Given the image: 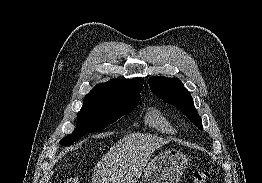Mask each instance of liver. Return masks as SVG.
Returning a JSON list of instances; mask_svg holds the SVG:
<instances>
[{"mask_svg":"<svg viewBox=\"0 0 262 183\" xmlns=\"http://www.w3.org/2000/svg\"><path fill=\"white\" fill-rule=\"evenodd\" d=\"M168 142L150 134L125 135L95 166L92 183H136L153 152Z\"/></svg>","mask_w":262,"mask_h":183,"instance_id":"obj_1","label":"liver"}]
</instances>
